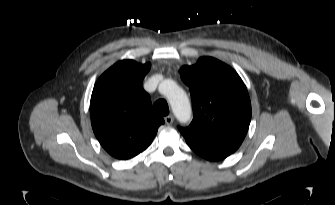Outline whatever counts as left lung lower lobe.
Segmentation results:
<instances>
[{
  "label": "left lung lower lobe",
  "instance_id": "1",
  "mask_svg": "<svg viewBox=\"0 0 335 205\" xmlns=\"http://www.w3.org/2000/svg\"><path fill=\"white\" fill-rule=\"evenodd\" d=\"M192 150H194L197 154L202 156L203 158L210 160V161H217L222 160L230 155V153L225 152H217L208 149L201 148L195 144L187 142Z\"/></svg>",
  "mask_w": 335,
  "mask_h": 205
}]
</instances>
